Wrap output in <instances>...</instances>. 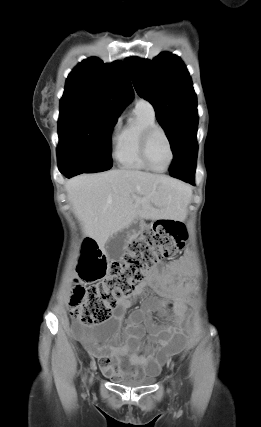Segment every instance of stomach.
I'll list each match as a JSON object with an SVG mask.
<instances>
[{"label": "stomach", "instance_id": "obj_1", "mask_svg": "<svg viewBox=\"0 0 261 427\" xmlns=\"http://www.w3.org/2000/svg\"><path fill=\"white\" fill-rule=\"evenodd\" d=\"M137 230H138V227H136V226H135V227H133V228L131 229V233H132V234H135Z\"/></svg>", "mask_w": 261, "mask_h": 427}]
</instances>
